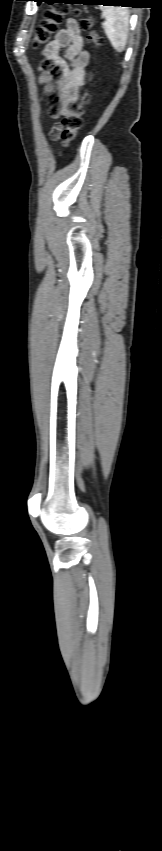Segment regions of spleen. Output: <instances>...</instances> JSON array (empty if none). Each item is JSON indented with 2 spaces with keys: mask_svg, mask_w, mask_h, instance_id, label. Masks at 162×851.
I'll list each match as a JSON object with an SVG mask.
<instances>
[{
  "mask_svg": "<svg viewBox=\"0 0 162 851\" xmlns=\"http://www.w3.org/2000/svg\"><path fill=\"white\" fill-rule=\"evenodd\" d=\"M100 9L103 12L105 22L103 28L105 33L117 52H123L127 43L129 13L126 8L122 7H103Z\"/></svg>",
  "mask_w": 162,
  "mask_h": 851,
  "instance_id": "obj_1",
  "label": "spleen"
}]
</instances>
